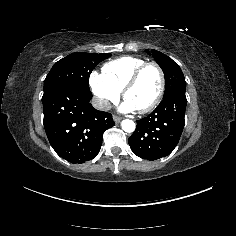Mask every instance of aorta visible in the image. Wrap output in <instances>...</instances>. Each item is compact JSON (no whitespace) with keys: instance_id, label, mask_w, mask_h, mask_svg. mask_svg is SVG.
I'll return each instance as SVG.
<instances>
[{"instance_id":"obj_1","label":"aorta","mask_w":236,"mask_h":236,"mask_svg":"<svg viewBox=\"0 0 236 236\" xmlns=\"http://www.w3.org/2000/svg\"><path fill=\"white\" fill-rule=\"evenodd\" d=\"M122 130L131 133L135 130V123L132 120L125 119L121 122Z\"/></svg>"}]
</instances>
